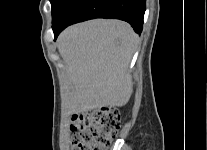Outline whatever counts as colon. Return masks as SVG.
I'll return each mask as SVG.
<instances>
[{"label": "colon", "mask_w": 207, "mask_h": 150, "mask_svg": "<svg viewBox=\"0 0 207 150\" xmlns=\"http://www.w3.org/2000/svg\"><path fill=\"white\" fill-rule=\"evenodd\" d=\"M120 128L119 114L107 108L88 111L72 118L75 150H107Z\"/></svg>", "instance_id": "5ec220e1"}]
</instances>
